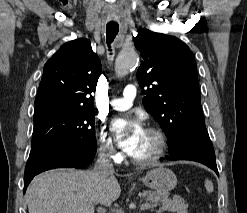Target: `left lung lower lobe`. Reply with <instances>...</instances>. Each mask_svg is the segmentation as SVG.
I'll return each instance as SVG.
<instances>
[{"instance_id":"left-lung-lower-lobe-1","label":"left lung lower lobe","mask_w":247,"mask_h":213,"mask_svg":"<svg viewBox=\"0 0 247 213\" xmlns=\"http://www.w3.org/2000/svg\"><path fill=\"white\" fill-rule=\"evenodd\" d=\"M169 160H192L210 167L218 175L215 152L206 128H192L182 140L168 149Z\"/></svg>"}]
</instances>
